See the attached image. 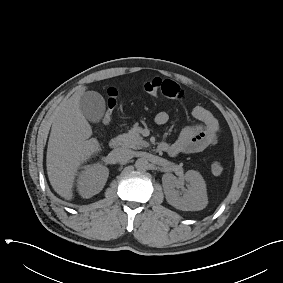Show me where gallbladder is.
<instances>
[{"instance_id": "bac80fb5", "label": "gallbladder", "mask_w": 283, "mask_h": 283, "mask_svg": "<svg viewBox=\"0 0 283 283\" xmlns=\"http://www.w3.org/2000/svg\"><path fill=\"white\" fill-rule=\"evenodd\" d=\"M80 109L83 115L92 123H98L105 113V100L95 91H87L81 95Z\"/></svg>"}]
</instances>
